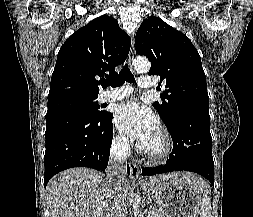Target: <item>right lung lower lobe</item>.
<instances>
[{"mask_svg": "<svg viewBox=\"0 0 253 217\" xmlns=\"http://www.w3.org/2000/svg\"><path fill=\"white\" fill-rule=\"evenodd\" d=\"M113 114L93 116L70 112L46 119L44 186L71 167H107L113 137ZM128 173L129 166H127Z\"/></svg>", "mask_w": 253, "mask_h": 217, "instance_id": "obj_1", "label": "right lung lower lobe"}]
</instances>
